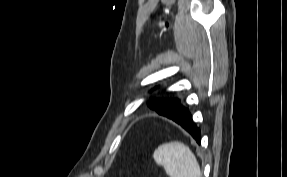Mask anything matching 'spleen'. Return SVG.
Masks as SVG:
<instances>
[{"label":"spleen","instance_id":"3e777b00","mask_svg":"<svg viewBox=\"0 0 287 177\" xmlns=\"http://www.w3.org/2000/svg\"><path fill=\"white\" fill-rule=\"evenodd\" d=\"M170 177H202L200 166L188 146L174 141L160 145L153 153Z\"/></svg>","mask_w":287,"mask_h":177}]
</instances>
